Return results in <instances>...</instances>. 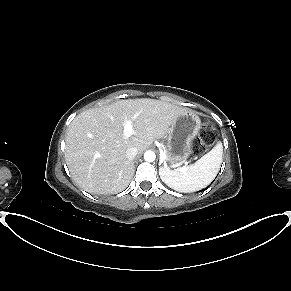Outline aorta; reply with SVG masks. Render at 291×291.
Returning <instances> with one entry per match:
<instances>
[{
	"mask_svg": "<svg viewBox=\"0 0 291 291\" xmlns=\"http://www.w3.org/2000/svg\"><path fill=\"white\" fill-rule=\"evenodd\" d=\"M155 158H156V155H155V153H154L153 151H151V150H148V151H146V152L144 153V159H145V161H147V162H153V161L155 160Z\"/></svg>",
	"mask_w": 291,
	"mask_h": 291,
	"instance_id": "762f6f07",
	"label": "aorta"
}]
</instances>
